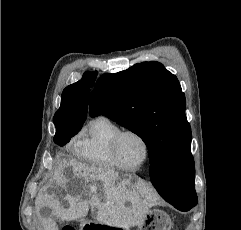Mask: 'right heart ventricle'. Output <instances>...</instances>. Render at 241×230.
Listing matches in <instances>:
<instances>
[{
    "label": "right heart ventricle",
    "instance_id": "obj_1",
    "mask_svg": "<svg viewBox=\"0 0 241 230\" xmlns=\"http://www.w3.org/2000/svg\"><path fill=\"white\" fill-rule=\"evenodd\" d=\"M119 130L120 127L105 115L93 118L77 143L78 157L89 163L117 167L111 154V142Z\"/></svg>",
    "mask_w": 241,
    "mask_h": 230
}]
</instances>
